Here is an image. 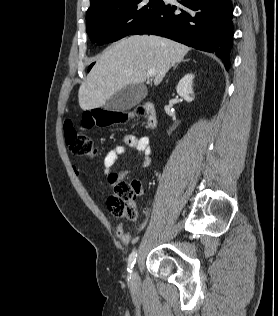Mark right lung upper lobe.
I'll list each match as a JSON object with an SVG mask.
<instances>
[{
  "mask_svg": "<svg viewBox=\"0 0 278 316\" xmlns=\"http://www.w3.org/2000/svg\"><path fill=\"white\" fill-rule=\"evenodd\" d=\"M107 1H109V0H90L91 6H90L89 9H91V8L97 6V5L103 4V3L107 2Z\"/></svg>",
  "mask_w": 278,
  "mask_h": 316,
  "instance_id": "1",
  "label": "right lung upper lobe"
}]
</instances>
